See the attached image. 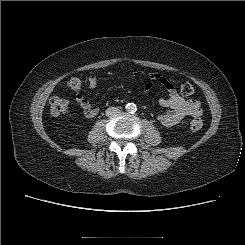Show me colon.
I'll return each instance as SVG.
<instances>
[{
    "instance_id": "obj_1",
    "label": "colon",
    "mask_w": 245,
    "mask_h": 245,
    "mask_svg": "<svg viewBox=\"0 0 245 245\" xmlns=\"http://www.w3.org/2000/svg\"><path fill=\"white\" fill-rule=\"evenodd\" d=\"M83 82L79 76H73L68 80V87L73 91H80L82 89ZM180 91L185 96H190L194 93V88L191 83L183 82L180 86ZM50 111L54 115L63 114L68 111L70 107V101L62 96L54 95L49 101ZM203 126V121L200 117H195L189 124V129L192 132L199 131Z\"/></svg>"
}]
</instances>
